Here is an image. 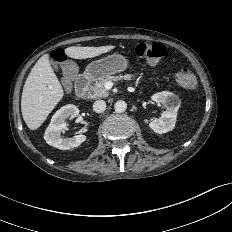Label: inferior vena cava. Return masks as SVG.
Here are the masks:
<instances>
[{"instance_id": "602c4592", "label": "inferior vena cava", "mask_w": 232, "mask_h": 232, "mask_svg": "<svg viewBox=\"0 0 232 232\" xmlns=\"http://www.w3.org/2000/svg\"><path fill=\"white\" fill-rule=\"evenodd\" d=\"M106 109V102L103 100H97L93 104V110L97 113H102Z\"/></svg>"}]
</instances>
